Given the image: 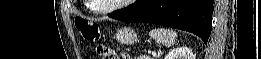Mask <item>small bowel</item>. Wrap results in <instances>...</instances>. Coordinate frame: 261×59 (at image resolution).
<instances>
[{"mask_svg":"<svg viewBox=\"0 0 261 59\" xmlns=\"http://www.w3.org/2000/svg\"><path fill=\"white\" fill-rule=\"evenodd\" d=\"M121 58L130 59V56L127 53H123Z\"/></svg>","mask_w":261,"mask_h":59,"instance_id":"small-bowel-1","label":"small bowel"}]
</instances>
